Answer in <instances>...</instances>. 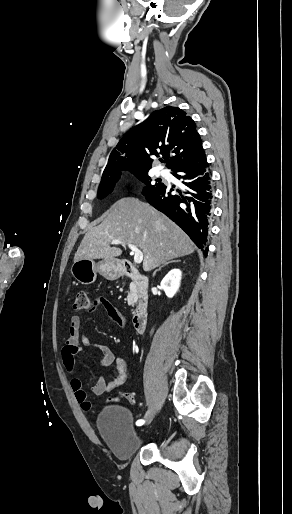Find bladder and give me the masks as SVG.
<instances>
[{
	"mask_svg": "<svg viewBox=\"0 0 292 514\" xmlns=\"http://www.w3.org/2000/svg\"><path fill=\"white\" fill-rule=\"evenodd\" d=\"M97 429L113 454L121 460L132 458L144 444L136 434L131 411L122 405L105 407L97 418Z\"/></svg>",
	"mask_w": 292,
	"mask_h": 514,
	"instance_id": "bladder-1",
	"label": "bladder"
}]
</instances>
